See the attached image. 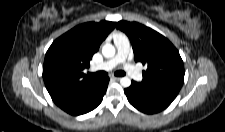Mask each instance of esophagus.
I'll return each instance as SVG.
<instances>
[{"label":"esophagus","mask_w":225,"mask_h":132,"mask_svg":"<svg viewBox=\"0 0 225 132\" xmlns=\"http://www.w3.org/2000/svg\"><path fill=\"white\" fill-rule=\"evenodd\" d=\"M121 78L120 77H117V76H112L111 77V80L113 81H119Z\"/></svg>","instance_id":"1"}]
</instances>
